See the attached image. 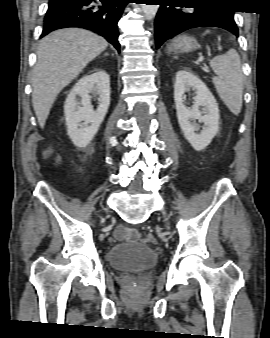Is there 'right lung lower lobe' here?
<instances>
[{
    "label": "right lung lower lobe",
    "mask_w": 270,
    "mask_h": 338,
    "mask_svg": "<svg viewBox=\"0 0 270 338\" xmlns=\"http://www.w3.org/2000/svg\"><path fill=\"white\" fill-rule=\"evenodd\" d=\"M129 0H49L41 37L65 27L92 30L120 52L117 23Z\"/></svg>",
    "instance_id": "right-lung-lower-lobe-1"
}]
</instances>
